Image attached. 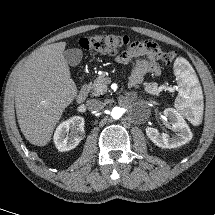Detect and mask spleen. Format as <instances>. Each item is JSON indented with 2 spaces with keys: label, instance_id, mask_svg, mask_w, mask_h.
I'll return each mask as SVG.
<instances>
[{
  "label": "spleen",
  "instance_id": "obj_1",
  "mask_svg": "<svg viewBox=\"0 0 215 215\" xmlns=\"http://www.w3.org/2000/svg\"><path fill=\"white\" fill-rule=\"evenodd\" d=\"M175 75L179 83V96L175 100L176 109L185 116L198 114L202 110V91L197 78L189 68L188 61L177 58L174 63Z\"/></svg>",
  "mask_w": 215,
  "mask_h": 215
}]
</instances>
